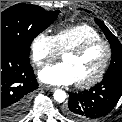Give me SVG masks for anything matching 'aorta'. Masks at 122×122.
<instances>
[{
  "label": "aorta",
  "mask_w": 122,
  "mask_h": 122,
  "mask_svg": "<svg viewBox=\"0 0 122 122\" xmlns=\"http://www.w3.org/2000/svg\"><path fill=\"white\" fill-rule=\"evenodd\" d=\"M53 97H54L55 101L62 103L66 99V92L61 89H57L54 91Z\"/></svg>",
  "instance_id": "obj_1"
}]
</instances>
